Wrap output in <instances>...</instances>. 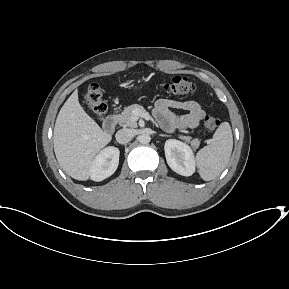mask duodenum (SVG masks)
I'll use <instances>...</instances> for the list:
<instances>
[{
    "mask_svg": "<svg viewBox=\"0 0 289 289\" xmlns=\"http://www.w3.org/2000/svg\"><path fill=\"white\" fill-rule=\"evenodd\" d=\"M117 125V119L114 114L109 115L103 122V128L106 132L112 133Z\"/></svg>",
    "mask_w": 289,
    "mask_h": 289,
    "instance_id": "1",
    "label": "duodenum"
}]
</instances>
